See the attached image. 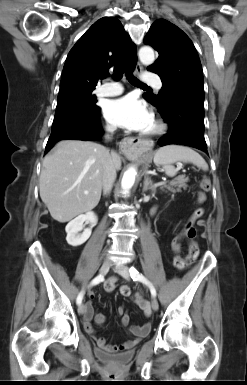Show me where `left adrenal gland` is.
Returning a JSON list of instances; mask_svg holds the SVG:
<instances>
[{
	"mask_svg": "<svg viewBox=\"0 0 247 385\" xmlns=\"http://www.w3.org/2000/svg\"><path fill=\"white\" fill-rule=\"evenodd\" d=\"M147 190L155 191V188L153 186V182L150 180L149 175L144 176V182H143V192H146Z\"/></svg>",
	"mask_w": 247,
	"mask_h": 385,
	"instance_id": "1",
	"label": "left adrenal gland"
}]
</instances>
